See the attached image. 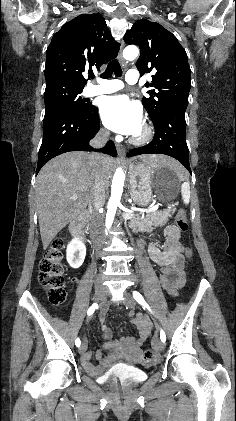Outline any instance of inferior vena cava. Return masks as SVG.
I'll return each mask as SVG.
<instances>
[{
	"label": "inferior vena cava",
	"mask_w": 236,
	"mask_h": 421,
	"mask_svg": "<svg viewBox=\"0 0 236 421\" xmlns=\"http://www.w3.org/2000/svg\"><path fill=\"white\" fill-rule=\"evenodd\" d=\"M110 132L109 130H99L96 136L90 140L89 144L94 146V148H101V146H105L108 136ZM91 158H99L100 154L98 152H91ZM95 170H97L96 174V182H94L93 190H92V200H91V208H90V225L92 229V241L94 247L99 249V247H103L105 243V235L103 229V213H100V208L105 204V186L104 182L100 180V170H98V166L95 162Z\"/></svg>",
	"instance_id": "602c4592"
}]
</instances>
